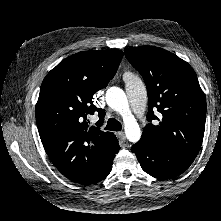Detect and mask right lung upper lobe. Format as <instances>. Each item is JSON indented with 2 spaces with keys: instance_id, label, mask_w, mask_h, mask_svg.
<instances>
[{
  "instance_id": "1",
  "label": "right lung upper lobe",
  "mask_w": 221,
  "mask_h": 221,
  "mask_svg": "<svg viewBox=\"0 0 221 221\" xmlns=\"http://www.w3.org/2000/svg\"><path fill=\"white\" fill-rule=\"evenodd\" d=\"M123 52L84 51L67 57L44 78L35 115L44 149L55 167L78 183L102 173L112 161L118 140L111 132L89 126L96 108L93 95L114 77Z\"/></svg>"
}]
</instances>
